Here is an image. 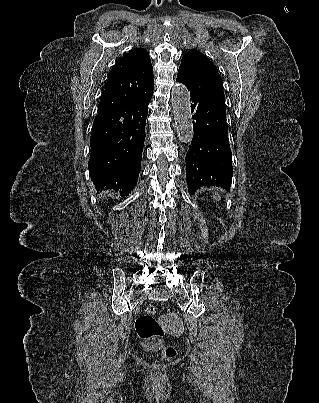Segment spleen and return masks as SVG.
<instances>
[{
  "instance_id": "3e777b00",
  "label": "spleen",
  "mask_w": 319,
  "mask_h": 403,
  "mask_svg": "<svg viewBox=\"0 0 319 403\" xmlns=\"http://www.w3.org/2000/svg\"><path fill=\"white\" fill-rule=\"evenodd\" d=\"M213 199H214L215 201H218V200L221 199V197H220V195H219L218 193H215V194H213Z\"/></svg>"
}]
</instances>
